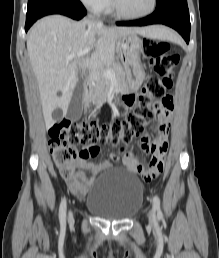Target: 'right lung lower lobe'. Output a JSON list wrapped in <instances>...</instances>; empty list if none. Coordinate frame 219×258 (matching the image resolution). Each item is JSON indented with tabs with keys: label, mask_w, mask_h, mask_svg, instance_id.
<instances>
[{
	"label": "right lung lower lobe",
	"mask_w": 219,
	"mask_h": 258,
	"mask_svg": "<svg viewBox=\"0 0 219 258\" xmlns=\"http://www.w3.org/2000/svg\"><path fill=\"white\" fill-rule=\"evenodd\" d=\"M50 14H62L80 20L86 14V9L79 0H49L36 7L26 15L25 31L39 18Z\"/></svg>",
	"instance_id": "right-lung-lower-lobe-1"
}]
</instances>
